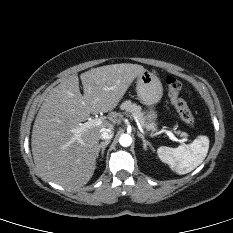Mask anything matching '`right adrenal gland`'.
<instances>
[{"label": "right adrenal gland", "mask_w": 233, "mask_h": 233, "mask_svg": "<svg viewBox=\"0 0 233 233\" xmlns=\"http://www.w3.org/2000/svg\"><path fill=\"white\" fill-rule=\"evenodd\" d=\"M110 143V141L109 140H106V141H103V142H101L100 144H99V147H98V152H100V150H101V157L103 158V156H104V151H105V149H106V147H107V145Z\"/></svg>", "instance_id": "2a0ac1e0"}]
</instances>
